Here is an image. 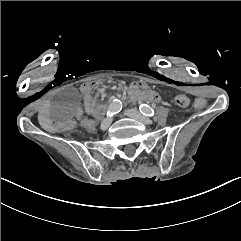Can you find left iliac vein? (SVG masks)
Wrapping results in <instances>:
<instances>
[{
	"instance_id": "left-iliac-vein-1",
	"label": "left iliac vein",
	"mask_w": 241,
	"mask_h": 241,
	"mask_svg": "<svg viewBox=\"0 0 241 241\" xmlns=\"http://www.w3.org/2000/svg\"><path fill=\"white\" fill-rule=\"evenodd\" d=\"M125 114L132 118V119H135L143 124H146V125H151L152 124V120L147 118L146 116H144L143 114H141L139 111H137L136 109H130V110H127L125 112Z\"/></svg>"
}]
</instances>
